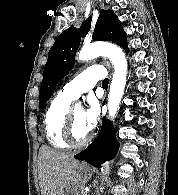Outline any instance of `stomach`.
I'll return each mask as SVG.
<instances>
[{"instance_id":"1","label":"stomach","mask_w":178,"mask_h":195,"mask_svg":"<svg viewBox=\"0 0 178 195\" xmlns=\"http://www.w3.org/2000/svg\"><path fill=\"white\" fill-rule=\"evenodd\" d=\"M92 170L85 167H79L74 180L66 188L64 195H81L83 187L86 182L91 178Z\"/></svg>"}]
</instances>
